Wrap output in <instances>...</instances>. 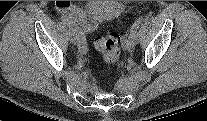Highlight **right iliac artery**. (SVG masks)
<instances>
[{
	"label": "right iliac artery",
	"mask_w": 207,
	"mask_h": 121,
	"mask_svg": "<svg viewBox=\"0 0 207 121\" xmlns=\"http://www.w3.org/2000/svg\"><path fill=\"white\" fill-rule=\"evenodd\" d=\"M62 22L68 25L70 29H74L76 31L77 37H78V46L80 48H85L86 49V42H85V37L83 33L79 30V28L76 27V25L70 21L66 16L61 17Z\"/></svg>",
	"instance_id": "obj_1"
}]
</instances>
